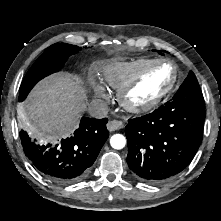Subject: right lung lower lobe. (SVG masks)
Returning a JSON list of instances; mask_svg holds the SVG:
<instances>
[{
	"mask_svg": "<svg viewBox=\"0 0 221 221\" xmlns=\"http://www.w3.org/2000/svg\"><path fill=\"white\" fill-rule=\"evenodd\" d=\"M107 122V118L83 117L72 136L54 144L37 143L23 130L20 139L25 155L40 174L53 182L68 184L89 173L109 136Z\"/></svg>",
	"mask_w": 221,
	"mask_h": 221,
	"instance_id": "98d812e1",
	"label": "right lung lower lobe"
}]
</instances>
